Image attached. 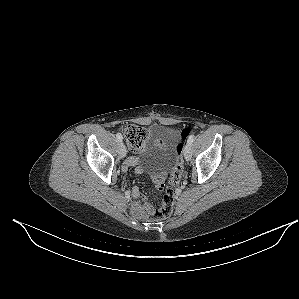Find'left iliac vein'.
<instances>
[{
	"mask_svg": "<svg viewBox=\"0 0 299 299\" xmlns=\"http://www.w3.org/2000/svg\"><path fill=\"white\" fill-rule=\"evenodd\" d=\"M184 157L186 160L191 159V145L188 143L184 147Z\"/></svg>",
	"mask_w": 299,
	"mask_h": 299,
	"instance_id": "1",
	"label": "left iliac vein"
}]
</instances>
